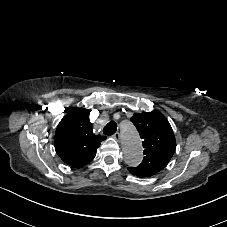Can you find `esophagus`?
Wrapping results in <instances>:
<instances>
[{
	"instance_id": "1",
	"label": "esophagus",
	"mask_w": 227,
	"mask_h": 227,
	"mask_svg": "<svg viewBox=\"0 0 227 227\" xmlns=\"http://www.w3.org/2000/svg\"><path fill=\"white\" fill-rule=\"evenodd\" d=\"M113 138L119 142L120 141V133L119 132H116L114 135H113Z\"/></svg>"
}]
</instances>
